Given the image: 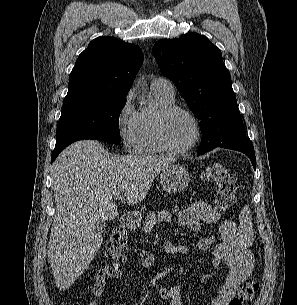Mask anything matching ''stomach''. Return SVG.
I'll return each mask as SVG.
<instances>
[{"mask_svg": "<svg viewBox=\"0 0 297 305\" xmlns=\"http://www.w3.org/2000/svg\"><path fill=\"white\" fill-rule=\"evenodd\" d=\"M190 182V174L180 165H170L160 174V183L167 193H176L184 190Z\"/></svg>", "mask_w": 297, "mask_h": 305, "instance_id": "0dacf381", "label": "stomach"}]
</instances>
